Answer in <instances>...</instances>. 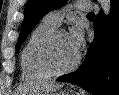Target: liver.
Wrapping results in <instances>:
<instances>
[{
    "label": "liver",
    "mask_w": 119,
    "mask_h": 95,
    "mask_svg": "<svg viewBox=\"0 0 119 95\" xmlns=\"http://www.w3.org/2000/svg\"><path fill=\"white\" fill-rule=\"evenodd\" d=\"M63 87V84L55 82H39L32 85H24L18 89L17 95H40L53 93Z\"/></svg>",
    "instance_id": "obj_1"
}]
</instances>
